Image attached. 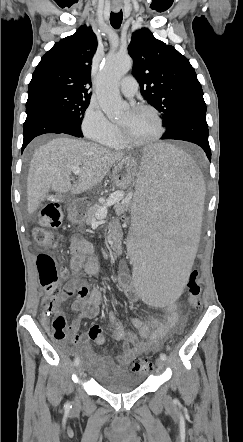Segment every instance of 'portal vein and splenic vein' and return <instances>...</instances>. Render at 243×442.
<instances>
[{"label": "portal vein and splenic vein", "mask_w": 243, "mask_h": 442, "mask_svg": "<svg viewBox=\"0 0 243 442\" xmlns=\"http://www.w3.org/2000/svg\"><path fill=\"white\" fill-rule=\"evenodd\" d=\"M72 172L75 175H80L81 169H80V167H73ZM123 198H124V192H122V191L112 194L106 200V203L97 210V212L95 214V218L92 221H96V219H98V220L104 219L107 215V208L116 204L117 202L121 201ZM129 198L130 197H128V199Z\"/></svg>", "instance_id": "obj_1"}]
</instances>
